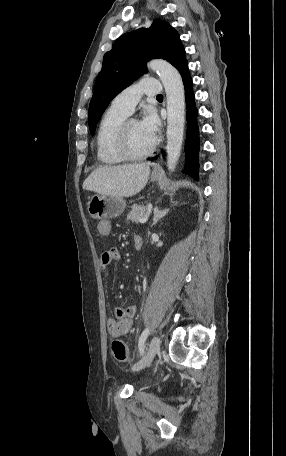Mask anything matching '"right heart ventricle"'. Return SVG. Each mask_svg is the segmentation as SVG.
I'll return each mask as SVG.
<instances>
[{
  "mask_svg": "<svg viewBox=\"0 0 286 456\" xmlns=\"http://www.w3.org/2000/svg\"><path fill=\"white\" fill-rule=\"evenodd\" d=\"M127 114L110 106L100 121L96 134V155L104 165H117L124 160L116 150V136Z\"/></svg>",
  "mask_w": 286,
  "mask_h": 456,
  "instance_id": "1",
  "label": "right heart ventricle"
}]
</instances>
